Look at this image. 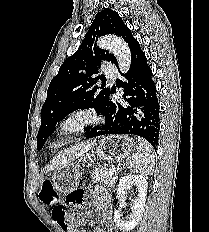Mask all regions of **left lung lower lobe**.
Instances as JSON below:
<instances>
[{"mask_svg": "<svg viewBox=\"0 0 209 232\" xmlns=\"http://www.w3.org/2000/svg\"><path fill=\"white\" fill-rule=\"evenodd\" d=\"M130 50V69L122 74L126 80L117 81V86L124 89V102L114 103L109 99L102 114L105 117L104 124L92 128L86 134V139L100 135L131 134L143 137L156 149L160 119L152 70L137 40Z\"/></svg>", "mask_w": 209, "mask_h": 232, "instance_id": "left-lung-lower-lobe-1", "label": "left lung lower lobe"}]
</instances>
